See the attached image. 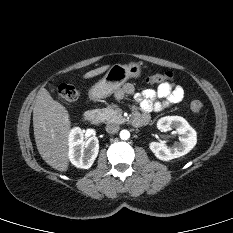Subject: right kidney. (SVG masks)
Returning a JSON list of instances; mask_svg holds the SVG:
<instances>
[{"mask_svg":"<svg viewBox=\"0 0 233 233\" xmlns=\"http://www.w3.org/2000/svg\"><path fill=\"white\" fill-rule=\"evenodd\" d=\"M68 155L71 163L77 168L89 169L99 152L97 137L84 140V134L79 127L70 130L68 136Z\"/></svg>","mask_w":233,"mask_h":233,"instance_id":"ca27d5eb","label":"right kidney"}]
</instances>
